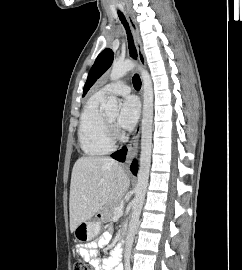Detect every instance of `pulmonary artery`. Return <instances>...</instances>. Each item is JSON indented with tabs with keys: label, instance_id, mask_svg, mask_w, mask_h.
<instances>
[{
	"label": "pulmonary artery",
	"instance_id": "e3ab8cb5",
	"mask_svg": "<svg viewBox=\"0 0 242 270\" xmlns=\"http://www.w3.org/2000/svg\"><path fill=\"white\" fill-rule=\"evenodd\" d=\"M131 91L130 86L123 81L112 82L104 87H102L98 92L97 95L106 98L109 95H127Z\"/></svg>",
	"mask_w": 242,
	"mask_h": 270
}]
</instances>
